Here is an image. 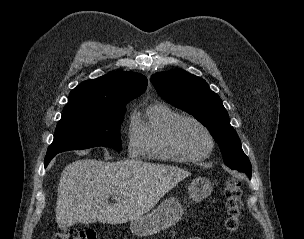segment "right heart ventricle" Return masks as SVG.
Here are the masks:
<instances>
[{
	"label": "right heart ventricle",
	"mask_w": 304,
	"mask_h": 239,
	"mask_svg": "<svg viewBox=\"0 0 304 239\" xmlns=\"http://www.w3.org/2000/svg\"><path fill=\"white\" fill-rule=\"evenodd\" d=\"M181 114L162 102L150 104L135 123L141 139L139 155L160 161H178L180 158L167 144V130Z\"/></svg>",
	"instance_id": "1"
}]
</instances>
